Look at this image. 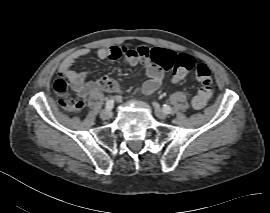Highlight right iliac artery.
Masks as SVG:
<instances>
[{
  "label": "right iliac artery",
  "instance_id": "82829eb1",
  "mask_svg": "<svg viewBox=\"0 0 270 213\" xmlns=\"http://www.w3.org/2000/svg\"><path fill=\"white\" fill-rule=\"evenodd\" d=\"M114 106V101L113 100H108L106 103V109H112Z\"/></svg>",
  "mask_w": 270,
  "mask_h": 213
}]
</instances>
